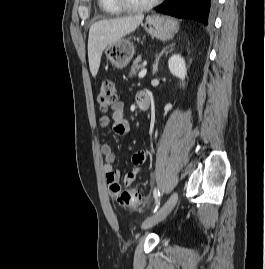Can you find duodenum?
I'll return each mask as SVG.
<instances>
[{
    "mask_svg": "<svg viewBox=\"0 0 265 269\" xmlns=\"http://www.w3.org/2000/svg\"><path fill=\"white\" fill-rule=\"evenodd\" d=\"M138 104L142 110H146L149 107V98L146 95H141Z\"/></svg>",
    "mask_w": 265,
    "mask_h": 269,
    "instance_id": "duodenum-1",
    "label": "duodenum"
}]
</instances>
